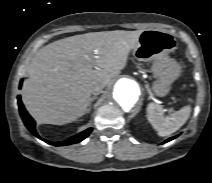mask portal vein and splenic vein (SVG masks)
<instances>
[{
  "label": "portal vein and splenic vein",
  "instance_id": "obj_1",
  "mask_svg": "<svg viewBox=\"0 0 212 183\" xmlns=\"http://www.w3.org/2000/svg\"><path fill=\"white\" fill-rule=\"evenodd\" d=\"M95 58L97 57V53L95 52V56H94Z\"/></svg>",
  "mask_w": 212,
  "mask_h": 183
}]
</instances>
